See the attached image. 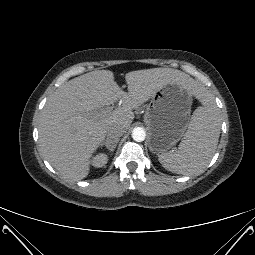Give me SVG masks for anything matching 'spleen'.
Wrapping results in <instances>:
<instances>
[{
	"instance_id": "obj_1",
	"label": "spleen",
	"mask_w": 255,
	"mask_h": 255,
	"mask_svg": "<svg viewBox=\"0 0 255 255\" xmlns=\"http://www.w3.org/2000/svg\"><path fill=\"white\" fill-rule=\"evenodd\" d=\"M201 101L202 106L193 112L178 150L158 156L168 171L183 175L198 172L209 164L216 151L221 127L219 110L206 93Z\"/></svg>"
}]
</instances>
